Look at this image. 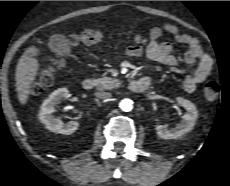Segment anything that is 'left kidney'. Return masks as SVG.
<instances>
[{"mask_svg":"<svg viewBox=\"0 0 230 186\" xmlns=\"http://www.w3.org/2000/svg\"><path fill=\"white\" fill-rule=\"evenodd\" d=\"M176 101L186 109V113L182 116L181 123L174 128L167 129L163 125H156L157 134L163 139H176L190 132L198 118V112L193 103L182 97H177Z\"/></svg>","mask_w":230,"mask_h":186,"instance_id":"1","label":"left kidney"}]
</instances>
